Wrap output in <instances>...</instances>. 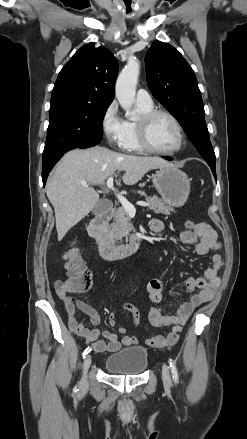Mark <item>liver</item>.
Segmentation results:
<instances>
[{
    "label": "liver",
    "instance_id": "6515ba94",
    "mask_svg": "<svg viewBox=\"0 0 247 439\" xmlns=\"http://www.w3.org/2000/svg\"><path fill=\"white\" fill-rule=\"evenodd\" d=\"M167 166L174 165L159 157L122 154L100 146L67 152L46 184V194L55 211L58 240L99 202L93 185L122 171L125 172L123 182L133 185L148 171Z\"/></svg>",
    "mask_w": 247,
    "mask_h": 439
}]
</instances>
